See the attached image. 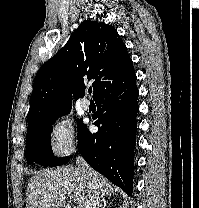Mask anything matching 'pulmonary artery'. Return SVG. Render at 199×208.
<instances>
[{
	"mask_svg": "<svg viewBox=\"0 0 199 208\" xmlns=\"http://www.w3.org/2000/svg\"><path fill=\"white\" fill-rule=\"evenodd\" d=\"M80 106L83 110H88L90 108V101L86 97H83L80 100Z\"/></svg>",
	"mask_w": 199,
	"mask_h": 208,
	"instance_id": "pulmonary-artery-1",
	"label": "pulmonary artery"
}]
</instances>
